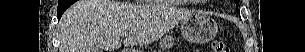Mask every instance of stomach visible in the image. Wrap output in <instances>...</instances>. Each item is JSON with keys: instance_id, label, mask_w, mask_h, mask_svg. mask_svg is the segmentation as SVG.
I'll use <instances>...</instances> for the list:
<instances>
[{"instance_id": "stomach-1", "label": "stomach", "mask_w": 305, "mask_h": 52, "mask_svg": "<svg viewBox=\"0 0 305 52\" xmlns=\"http://www.w3.org/2000/svg\"><path fill=\"white\" fill-rule=\"evenodd\" d=\"M180 30L183 38L188 42L205 43L215 37L217 32V24L207 15L202 13H192L190 16L182 20ZM172 46V38L165 37L161 40L160 50H166Z\"/></svg>"}]
</instances>
